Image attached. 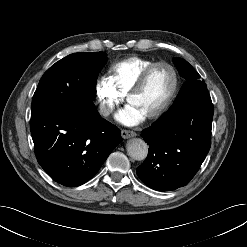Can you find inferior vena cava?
I'll use <instances>...</instances> for the list:
<instances>
[{
    "label": "inferior vena cava",
    "mask_w": 247,
    "mask_h": 247,
    "mask_svg": "<svg viewBox=\"0 0 247 247\" xmlns=\"http://www.w3.org/2000/svg\"><path fill=\"white\" fill-rule=\"evenodd\" d=\"M111 110L109 108H102L101 109V114L103 116H108L110 114Z\"/></svg>",
    "instance_id": "602c4592"
}]
</instances>
